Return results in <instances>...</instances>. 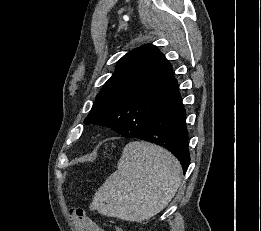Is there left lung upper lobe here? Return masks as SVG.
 Here are the masks:
<instances>
[{"label":"left lung upper lobe","instance_id":"5c2ea615","mask_svg":"<svg viewBox=\"0 0 261 231\" xmlns=\"http://www.w3.org/2000/svg\"><path fill=\"white\" fill-rule=\"evenodd\" d=\"M179 96L171 64L152 44L124 55L84 120L108 126L121 136L142 133Z\"/></svg>","mask_w":261,"mask_h":231}]
</instances>
